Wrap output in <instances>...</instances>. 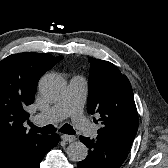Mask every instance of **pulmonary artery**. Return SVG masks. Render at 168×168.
I'll return each instance as SVG.
<instances>
[{"label":"pulmonary artery","instance_id":"pulmonary-artery-1","mask_svg":"<svg viewBox=\"0 0 168 168\" xmlns=\"http://www.w3.org/2000/svg\"><path fill=\"white\" fill-rule=\"evenodd\" d=\"M87 91L88 83L85 78L81 76L72 77L63 98L52 107L38 114L35 121L56 122L71 117L81 132L87 135H96L95 126L83 115Z\"/></svg>","mask_w":168,"mask_h":168}]
</instances>
